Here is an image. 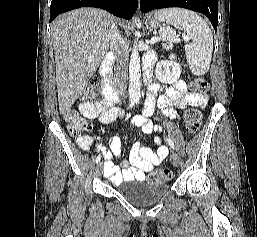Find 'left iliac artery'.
<instances>
[{"label":"left iliac artery","mask_w":257,"mask_h":237,"mask_svg":"<svg viewBox=\"0 0 257 237\" xmlns=\"http://www.w3.org/2000/svg\"><path fill=\"white\" fill-rule=\"evenodd\" d=\"M166 141L172 149H175L174 142L170 138H166Z\"/></svg>","instance_id":"obj_1"}]
</instances>
